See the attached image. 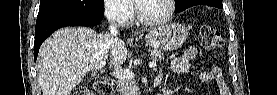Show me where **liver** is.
<instances>
[{"label": "liver", "mask_w": 277, "mask_h": 95, "mask_svg": "<svg viewBox=\"0 0 277 95\" xmlns=\"http://www.w3.org/2000/svg\"><path fill=\"white\" fill-rule=\"evenodd\" d=\"M110 54V64L121 66L127 58L125 43L110 34L87 27L62 28L41 45L38 82L43 95H70L84 76Z\"/></svg>", "instance_id": "6515ba94"}]
</instances>
